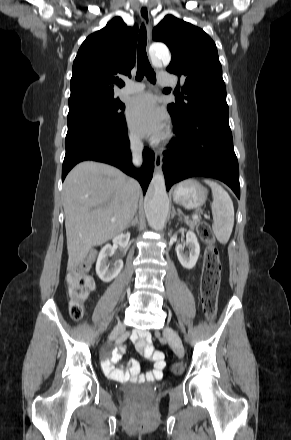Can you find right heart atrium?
<instances>
[{"mask_svg":"<svg viewBox=\"0 0 291 440\" xmlns=\"http://www.w3.org/2000/svg\"><path fill=\"white\" fill-rule=\"evenodd\" d=\"M129 138H130L131 141H134V136L133 135H130Z\"/></svg>","mask_w":291,"mask_h":440,"instance_id":"d8ad5b80","label":"right heart atrium"}]
</instances>
